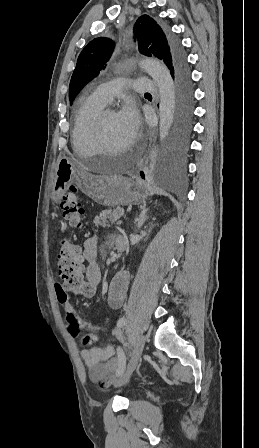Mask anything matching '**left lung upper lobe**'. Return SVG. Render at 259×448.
<instances>
[{"label": "left lung upper lobe", "instance_id": "1", "mask_svg": "<svg viewBox=\"0 0 259 448\" xmlns=\"http://www.w3.org/2000/svg\"><path fill=\"white\" fill-rule=\"evenodd\" d=\"M134 37L140 53L163 60L169 68L177 55L175 42L167 38L157 22L148 15L140 16L134 25ZM114 49V42L105 37L95 38L88 43L78 57L69 87L72 102L80 90L104 69Z\"/></svg>", "mask_w": 259, "mask_h": 448}]
</instances>
